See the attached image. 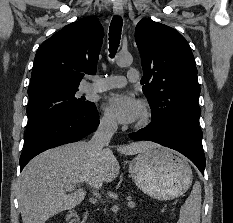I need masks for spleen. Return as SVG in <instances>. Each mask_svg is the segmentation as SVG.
<instances>
[{
    "label": "spleen",
    "mask_w": 233,
    "mask_h": 223,
    "mask_svg": "<svg viewBox=\"0 0 233 223\" xmlns=\"http://www.w3.org/2000/svg\"><path fill=\"white\" fill-rule=\"evenodd\" d=\"M201 185L195 181L193 189L180 209L177 223H200Z\"/></svg>",
    "instance_id": "1"
}]
</instances>
